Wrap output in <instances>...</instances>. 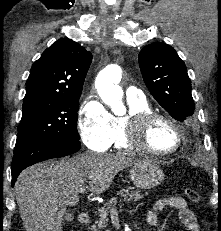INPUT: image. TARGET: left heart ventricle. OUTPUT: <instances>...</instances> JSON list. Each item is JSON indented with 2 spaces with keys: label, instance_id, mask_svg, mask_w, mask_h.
<instances>
[{
  "label": "left heart ventricle",
  "instance_id": "b2bd125f",
  "mask_svg": "<svg viewBox=\"0 0 221 231\" xmlns=\"http://www.w3.org/2000/svg\"><path fill=\"white\" fill-rule=\"evenodd\" d=\"M177 141L175 130L166 122L158 121L153 124L149 131L150 146L157 151L172 149Z\"/></svg>",
  "mask_w": 221,
  "mask_h": 231
}]
</instances>
